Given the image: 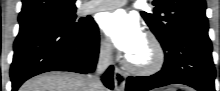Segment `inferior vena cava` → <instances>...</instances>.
<instances>
[{
    "instance_id": "inferior-vena-cava-1",
    "label": "inferior vena cava",
    "mask_w": 220,
    "mask_h": 91,
    "mask_svg": "<svg viewBox=\"0 0 220 91\" xmlns=\"http://www.w3.org/2000/svg\"><path fill=\"white\" fill-rule=\"evenodd\" d=\"M112 61V45L111 43H106L100 49L99 59L96 67V72L90 74L89 77L92 80V86L97 88V91L102 90L103 85L99 79V75L102 74Z\"/></svg>"
}]
</instances>
